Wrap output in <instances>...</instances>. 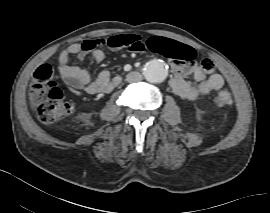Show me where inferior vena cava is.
<instances>
[{
	"instance_id": "inferior-vena-cava-1",
	"label": "inferior vena cava",
	"mask_w": 270,
	"mask_h": 213,
	"mask_svg": "<svg viewBox=\"0 0 270 213\" xmlns=\"http://www.w3.org/2000/svg\"><path fill=\"white\" fill-rule=\"evenodd\" d=\"M142 79H143L142 75L137 71L130 72L126 76V81L129 83L139 82Z\"/></svg>"
}]
</instances>
